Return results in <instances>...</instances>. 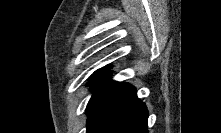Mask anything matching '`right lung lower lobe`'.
<instances>
[{"label": "right lung lower lobe", "mask_w": 221, "mask_h": 133, "mask_svg": "<svg viewBox=\"0 0 221 133\" xmlns=\"http://www.w3.org/2000/svg\"><path fill=\"white\" fill-rule=\"evenodd\" d=\"M88 103L87 133H147L148 111L133 86L99 76Z\"/></svg>", "instance_id": "right-lung-lower-lobe-1"}]
</instances>
